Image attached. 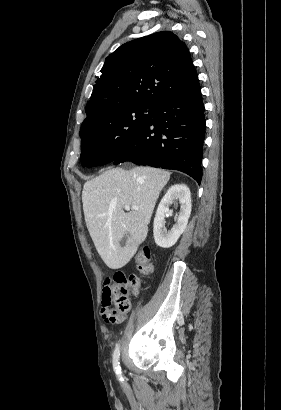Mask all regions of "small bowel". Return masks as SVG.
Listing matches in <instances>:
<instances>
[{
  "label": "small bowel",
  "instance_id": "small-bowel-1",
  "mask_svg": "<svg viewBox=\"0 0 281 410\" xmlns=\"http://www.w3.org/2000/svg\"><path fill=\"white\" fill-rule=\"evenodd\" d=\"M111 280L109 277L104 279L103 282V290H102V305H101V312L105 318L106 314L111 310L110 308V295H109V287H110ZM124 318L121 316L120 320Z\"/></svg>",
  "mask_w": 281,
  "mask_h": 410
}]
</instances>
